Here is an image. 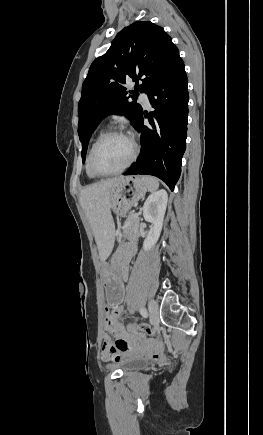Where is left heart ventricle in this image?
<instances>
[{
	"label": "left heart ventricle",
	"mask_w": 263,
	"mask_h": 435,
	"mask_svg": "<svg viewBox=\"0 0 263 435\" xmlns=\"http://www.w3.org/2000/svg\"><path fill=\"white\" fill-rule=\"evenodd\" d=\"M132 153V142L123 136L104 140L94 155L95 166L101 171H113L122 167Z\"/></svg>",
	"instance_id": "1"
}]
</instances>
